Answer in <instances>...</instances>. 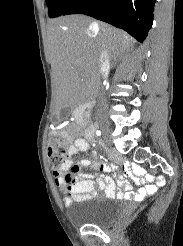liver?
I'll return each instance as SVG.
<instances>
[{
	"label": "liver",
	"mask_w": 183,
	"mask_h": 246,
	"mask_svg": "<svg viewBox=\"0 0 183 246\" xmlns=\"http://www.w3.org/2000/svg\"><path fill=\"white\" fill-rule=\"evenodd\" d=\"M91 18L71 15L51 20L48 50L56 107H74L83 101L100 80L99 58L106 49L111 59L133 47L126 32L105 23L92 25Z\"/></svg>",
	"instance_id": "liver-1"
}]
</instances>
